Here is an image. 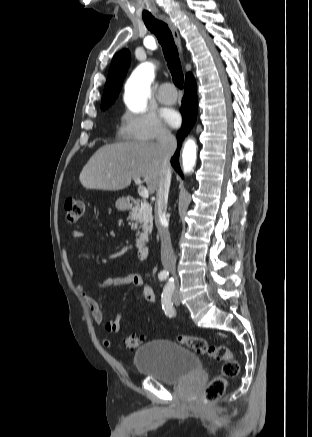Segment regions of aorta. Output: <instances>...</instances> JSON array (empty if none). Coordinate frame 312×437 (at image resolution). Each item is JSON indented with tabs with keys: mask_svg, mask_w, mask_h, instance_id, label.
I'll list each match as a JSON object with an SVG mask.
<instances>
[{
	"mask_svg": "<svg viewBox=\"0 0 312 437\" xmlns=\"http://www.w3.org/2000/svg\"><path fill=\"white\" fill-rule=\"evenodd\" d=\"M154 76V65L148 62L140 64L130 76L125 88V103L131 111L139 112L145 109ZM196 148L193 139L187 140L184 144L182 152L184 173L194 171L197 159Z\"/></svg>",
	"mask_w": 312,
	"mask_h": 437,
	"instance_id": "obj_1",
	"label": "aorta"
}]
</instances>
